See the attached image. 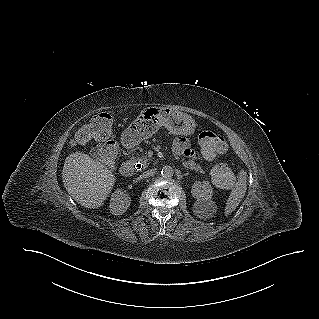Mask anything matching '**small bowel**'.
<instances>
[{
    "instance_id": "1",
    "label": "small bowel",
    "mask_w": 319,
    "mask_h": 319,
    "mask_svg": "<svg viewBox=\"0 0 319 319\" xmlns=\"http://www.w3.org/2000/svg\"><path fill=\"white\" fill-rule=\"evenodd\" d=\"M117 113L121 117H126L130 113V108L126 104H121L117 108ZM173 147H174V150L178 153H182L185 156L190 158L194 157V152L190 149L187 139L183 137L177 138L174 142Z\"/></svg>"
}]
</instances>
